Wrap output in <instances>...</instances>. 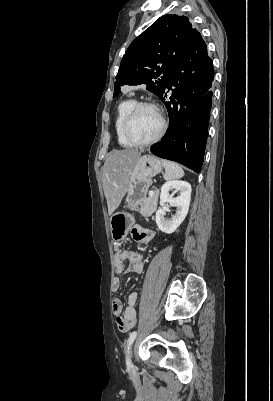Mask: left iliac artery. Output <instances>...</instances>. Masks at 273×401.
<instances>
[{"instance_id": "obj_1", "label": "left iliac artery", "mask_w": 273, "mask_h": 401, "mask_svg": "<svg viewBox=\"0 0 273 401\" xmlns=\"http://www.w3.org/2000/svg\"><path fill=\"white\" fill-rule=\"evenodd\" d=\"M136 336H137V332H136V331L130 333L129 339H128V342H127V344H128L127 349H128V350H129L130 346L132 345V343L134 342ZM128 352H129V351H127V353H128ZM126 364H127V368H130V367H131V362H130L128 356H126Z\"/></svg>"}]
</instances>
